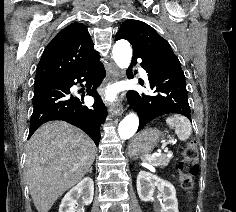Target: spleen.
<instances>
[{
    "label": "spleen",
    "mask_w": 236,
    "mask_h": 212,
    "mask_svg": "<svg viewBox=\"0 0 236 212\" xmlns=\"http://www.w3.org/2000/svg\"><path fill=\"white\" fill-rule=\"evenodd\" d=\"M166 123L170 128H175L176 134L181 141L189 139L192 133V127L190 121L183 115H172L166 119ZM143 162L150 164H156L155 158L151 155L141 156Z\"/></svg>",
    "instance_id": "obj_1"
}]
</instances>
